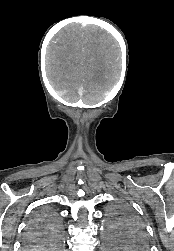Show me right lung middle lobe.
<instances>
[{"label":"right lung middle lobe","mask_w":174,"mask_h":251,"mask_svg":"<svg viewBox=\"0 0 174 251\" xmlns=\"http://www.w3.org/2000/svg\"><path fill=\"white\" fill-rule=\"evenodd\" d=\"M62 227L55 212L42 209L35 213L30 222L28 237H33L32 243H26L29 249L60 250L59 236Z\"/></svg>","instance_id":"right-lung-middle-lobe-1"}]
</instances>
